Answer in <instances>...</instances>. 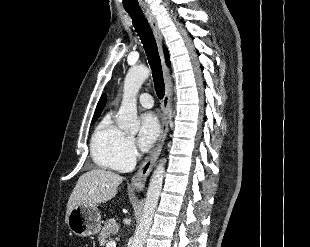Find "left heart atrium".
<instances>
[{"mask_svg": "<svg viewBox=\"0 0 310 247\" xmlns=\"http://www.w3.org/2000/svg\"><path fill=\"white\" fill-rule=\"evenodd\" d=\"M160 133L159 121L154 113H145L140 117L138 144L143 151L148 150Z\"/></svg>", "mask_w": 310, "mask_h": 247, "instance_id": "obj_1", "label": "left heart atrium"}]
</instances>
